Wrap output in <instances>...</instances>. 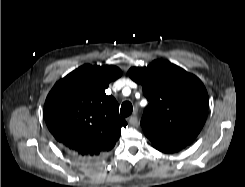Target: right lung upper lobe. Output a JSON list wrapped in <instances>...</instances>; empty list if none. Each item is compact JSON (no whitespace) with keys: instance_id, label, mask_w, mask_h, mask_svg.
<instances>
[{"instance_id":"right-lung-upper-lobe-1","label":"right lung upper lobe","mask_w":245,"mask_h":187,"mask_svg":"<svg viewBox=\"0 0 245 187\" xmlns=\"http://www.w3.org/2000/svg\"><path fill=\"white\" fill-rule=\"evenodd\" d=\"M121 75L113 65H83L54 85L45 101L44 118L63 147L89 159L114 147L127 122L105 89Z\"/></svg>"}]
</instances>
